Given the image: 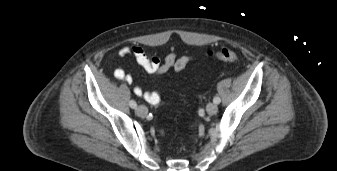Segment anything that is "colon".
Returning <instances> with one entry per match:
<instances>
[{
    "mask_svg": "<svg viewBox=\"0 0 337 171\" xmlns=\"http://www.w3.org/2000/svg\"><path fill=\"white\" fill-rule=\"evenodd\" d=\"M207 55L224 62H235L238 59L237 53L228 48H222L217 51L210 50Z\"/></svg>",
    "mask_w": 337,
    "mask_h": 171,
    "instance_id": "obj_1",
    "label": "colon"
}]
</instances>
